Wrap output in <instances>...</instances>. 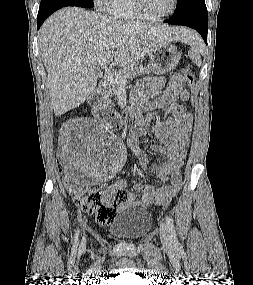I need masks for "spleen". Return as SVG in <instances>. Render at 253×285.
Returning <instances> with one entry per match:
<instances>
[{
  "instance_id": "1",
  "label": "spleen",
  "mask_w": 253,
  "mask_h": 285,
  "mask_svg": "<svg viewBox=\"0 0 253 285\" xmlns=\"http://www.w3.org/2000/svg\"><path fill=\"white\" fill-rule=\"evenodd\" d=\"M190 45V50H189V57L190 59L198 66L200 67L202 65V60L200 56V50H201V42L199 38L191 34L187 37V41Z\"/></svg>"
}]
</instances>
